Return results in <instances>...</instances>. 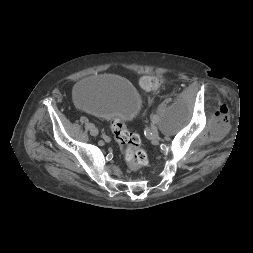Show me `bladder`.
I'll use <instances>...</instances> for the list:
<instances>
[{
  "label": "bladder",
  "mask_w": 253,
  "mask_h": 253,
  "mask_svg": "<svg viewBox=\"0 0 253 253\" xmlns=\"http://www.w3.org/2000/svg\"><path fill=\"white\" fill-rule=\"evenodd\" d=\"M73 98L84 110L107 120L131 121L142 106L135 86L113 75L81 79L73 88Z\"/></svg>",
  "instance_id": "31cf9c89"
}]
</instances>
